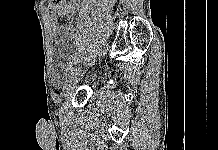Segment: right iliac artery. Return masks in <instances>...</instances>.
I'll list each match as a JSON object with an SVG mask.
<instances>
[{
  "instance_id": "82829eb1",
  "label": "right iliac artery",
  "mask_w": 218,
  "mask_h": 150,
  "mask_svg": "<svg viewBox=\"0 0 218 150\" xmlns=\"http://www.w3.org/2000/svg\"><path fill=\"white\" fill-rule=\"evenodd\" d=\"M78 56H79V55L76 54L75 56L72 57V61H74V63H75V61L78 59V58H77ZM76 58H77V59H76Z\"/></svg>"
}]
</instances>
